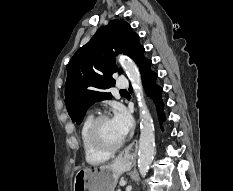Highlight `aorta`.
Listing matches in <instances>:
<instances>
[{
    "instance_id": "aorta-1",
    "label": "aorta",
    "mask_w": 233,
    "mask_h": 191,
    "mask_svg": "<svg viewBox=\"0 0 233 191\" xmlns=\"http://www.w3.org/2000/svg\"><path fill=\"white\" fill-rule=\"evenodd\" d=\"M119 63L127 74L137 97L140 112V139L138 169L145 176L155 156V134L151 114L144 99L141 75L138 66L128 57H120Z\"/></svg>"
}]
</instances>
